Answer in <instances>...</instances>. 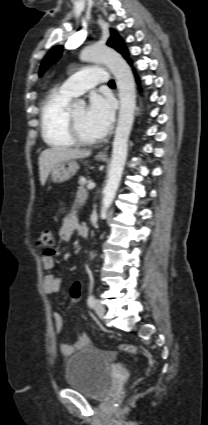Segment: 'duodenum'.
Returning <instances> with one entry per match:
<instances>
[{
    "instance_id": "410a0bca",
    "label": "duodenum",
    "mask_w": 208,
    "mask_h": 425,
    "mask_svg": "<svg viewBox=\"0 0 208 425\" xmlns=\"http://www.w3.org/2000/svg\"><path fill=\"white\" fill-rule=\"evenodd\" d=\"M79 233L83 238L88 237V227L86 225H80L79 227Z\"/></svg>"
}]
</instances>
